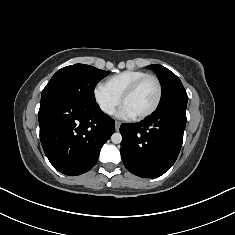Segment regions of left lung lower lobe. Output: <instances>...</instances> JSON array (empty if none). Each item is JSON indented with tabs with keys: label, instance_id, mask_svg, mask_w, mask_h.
<instances>
[{
	"label": "left lung lower lobe",
	"instance_id": "1",
	"mask_svg": "<svg viewBox=\"0 0 235 235\" xmlns=\"http://www.w3.org/2000/svg\"><path fill=\"white\" fill-rule=\"evenodd\" d=\"M185 125L182 107L154 112L139 123H123L120 151L125 167L143 178L163 175L178 157Z\"/></svg>",
	"mask_w": 235,
	"mask_h": 235
}]
</instances>
